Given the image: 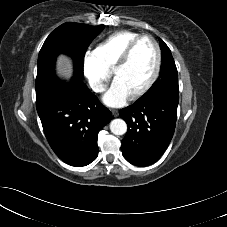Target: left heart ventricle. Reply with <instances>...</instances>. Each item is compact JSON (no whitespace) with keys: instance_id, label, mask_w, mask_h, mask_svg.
I'll use <instances>...</instances> for the list:
<instances>
[{"instance_id":"left-heart-ventricle-1","label":"left heart ventricle","mask_w":227,"mask_h":227,"mask_svg":"<svg viewBox=\"0 0 227 227\" xmlns=\"http://www.w3.org/2000/svg\"><path fill=\"white\" fill-rule=\"evenodd\" d=\"M155 66V47L149 40H143L135 48L128 64L117 72L115 80L131 95L149 81Z\"/></svg>"}]
</instances>
